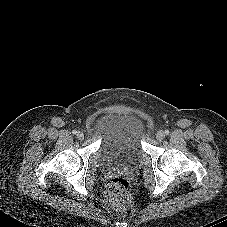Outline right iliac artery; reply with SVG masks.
<instances>
[{
    "label": "right iliac artery",
    "mask_w": 227,
    "mask_h": 227,
    "mask_svg": "<svg viewBox=\"0 0 227 227\" xmlns=\"http://www.w3.org/2000/svg\"><path fill=\"white\" fill-rule=\"evenodd\" d=\"M72 133H73V134H77V131H76V130H73Z\"/></svg>",
    "instance_id": "82829eb1"
}]
</instances>
